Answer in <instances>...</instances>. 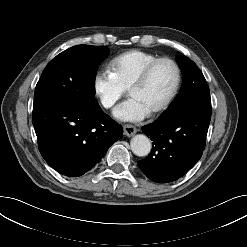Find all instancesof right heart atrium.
<instances>
[{
	"mask_svg": "<svg viewBox=\"0 0 247 247\" xmlns=\"http://www.w3.org/2000/svg\"><path fill=\"white\" fill-rule=\"evenodd\" d=\"M93 93L103 108L111 109L124 95L125 90L106 70H100L93 77Z\"/></svg>",
	"mask_w": 247,
	"mask_h": 247,
	"instance_id": "obj_1",
	"label": "right heart atrium"
}]
</instances>
